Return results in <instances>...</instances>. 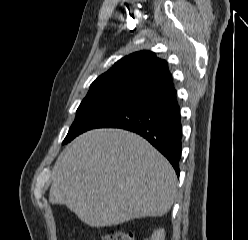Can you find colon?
<instances>
[{"label": "colon", "instance_id": "obj_1", "mask_svg": "<svg viewBox=\"0 0 248 240\" xmlns=\"http://www.w3.org/2000/svg\"><path fill=\"white\" fill-rule=\"evenodd\" d=\"M102 240H134L132 234L122 231L114 230L102 237Z\"/></svg>", "mask_w": 248, "mask_h": 240}]
</instances>
